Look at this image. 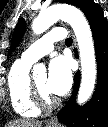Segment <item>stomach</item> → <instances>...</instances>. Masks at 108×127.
I'll return each mask as SVG.
<instances>
[{
    "instance_id": "stomach-1",
    "label": "stomach",
    "mask_w": 108,
    "mask_h": 127,
    "mask_svg": "<svg viewBox=\"0 0 108 127\" xmlns=\"http://www.w3.org/2000/svg\"><path fill=\"white\" fill-rule=\"evenodd\" d=\"M46 127H61V126L57 123L55 124L47 123Z\"/></svg>"
}]
</instances>
